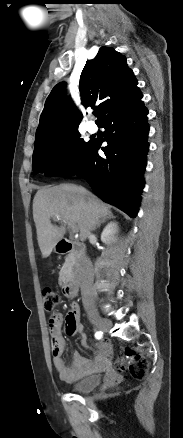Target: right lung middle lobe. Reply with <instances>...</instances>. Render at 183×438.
<instances>
[{
    "mask_svg": "<svg viewBox=\"0 0 183 438\" xmlns=\"http://www.w3.org/2000/svg\"><path fill=\"white\" fill-rule=\"evenodd\" d=\"M80 138L78 129L36 139L33 152V171L57 175L68 167L90 144ZM68 150V152H66Z\"/></svg>",
    "mask_w": 183,
    "mask_h": 438,
    "instance_id": "1",
    "label": "right lung middle lobe"
}]
</instances>
